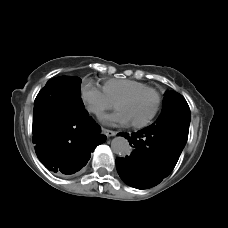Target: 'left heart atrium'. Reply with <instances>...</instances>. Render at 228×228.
<instances>
[{
    "instance_id": "left-heart-atrium-1",
    "label": "left heart atrium",
    "mask_w": 228,
    "mask_h": 228,
    "mask_svg": "<svg viewBox=\"0 0 228 228\" xmlns=\"http://www.w3.org/2000/svg\"><path fill=\"white\" fill-rule=\"evenodd\" d=\"M115 118L118 120V122L120 123H127L129 121V119L127 118V116L120 111V113H117L115 115Z\"/></svg>"
}]
</instances>
